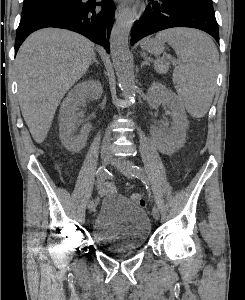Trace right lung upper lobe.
Masks as SVG:
<instances>
[{"label": "right lung upper lobe", "mask_w": 245, "mask_h": 300, "mask_svg": "<svg viewBox=\"0 0 245 300\" xmlns=\"http://www.w3.org/2000/svg\"><path fill=\"white\" fill-rule=\"evenodd\" d=\"M25 1H33V0H24V2H25Z\"/></svg>", "instance_id": "1"}]
</instances>
